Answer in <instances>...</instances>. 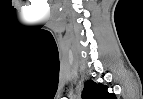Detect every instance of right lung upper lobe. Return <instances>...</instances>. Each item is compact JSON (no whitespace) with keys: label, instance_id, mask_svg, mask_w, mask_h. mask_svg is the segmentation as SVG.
<instances>
[{"label":"right lung upper lobe","instance_id":"right-lung-upper-lobe-1","mask_svg":"<svg viewBox=\"0 0 143 99\" xmlns=\"http://www.w3.org/2000/svg\"><path fill=\"white\" fill-rule=\"evenodd\" d=\"M82 99H115V95L107 91V86L88 80L82 91Z\"/></svg>","mask_w":143,"mask_h":99}]
</instances>
